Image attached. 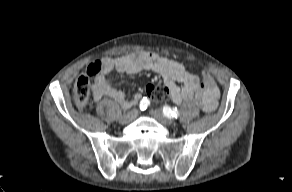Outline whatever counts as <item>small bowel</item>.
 I'll return each instance as SVG.
<instances>
[{
  "instance_id": "1",
  "label": "small bowel",
  "mask_w": 292,
  "mask_h": 192,
  "mask_svg": "<svg viewBox=\"0 0 292 192\" xmlns=\"http://www.w3.org/2000/svg\"><path fill=\"white\" fill-rule=\"evenodd\" d=\"M104 70L92 85L93 98L99 101L103 97L110 98L123 108H129L137 103L141 95L135 94L128 99L118 90L113 82L114 72L128 75L143 71L159 74L169 91L170 99L175 104L194 100L204 111L216 109L219 99V89L213 76L204 71L202 79L188 71L184 64L173 59L162 57L150 51H136L117 58L104 61Z\"/></svg>"
}]
</instances>
